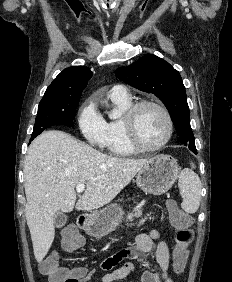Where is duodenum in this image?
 Here are the masks:
<instances>
[{
	"instance_id": "obj_1",
	"label": "duodenum",
	"mask_w": 232,
	"mask_h": 282,
	"mask_svg": "<svg viewBox=\"0 0 232 282\" xmlns=\"http://www.w3.org/2000/svg\"><path fill=\"white\" fill-rule=\"evenodd\" d=\"M88 218L85 216H80L78 219V225L80 228H86L88 225Z\"/></svg>"
}]
</instances>
